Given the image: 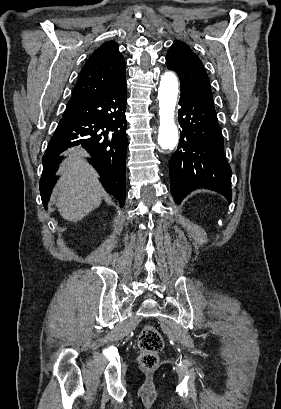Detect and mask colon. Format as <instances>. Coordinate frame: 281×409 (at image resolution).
<instances>
[{
  "mask_svg": "<svg viewBox=\"0 0 281 409\" xmlns=\"http://www.w3.org/2000/svg\"><path fill=\"white\" fill-rule=\"evenodd\" d=\"M137 345L141 351L139 362L144 369L157 367L158 353L164 348V339L159 331L152 326H144L139 333Z\"/></svg>",
  "mask_w": 281,
  "mask_h": 409,
  "instance_id": "5ec220e1",
  "label": "colon"
}]
</instances>
